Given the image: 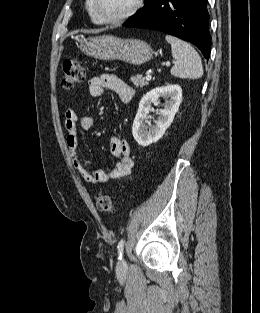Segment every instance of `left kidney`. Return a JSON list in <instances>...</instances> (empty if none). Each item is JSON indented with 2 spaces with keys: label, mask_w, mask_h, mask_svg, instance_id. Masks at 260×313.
Segmentation results:
<instances>
[{
  "label": "left kidney",
  "mask_w": 260,
  "mask_h": 313,
  "mask_svg": "<svg viewBox=\"0 0 260 313\" xmlns=\"http://www.w3.org/2000/svg\"><path fill=\"white\" fill-rule=\"evenodd\" d=\"M159 98L165 100L164 109L159 110V116L155 125L148 127L145 124L151 105ZM182 101V89L179 85H167L157 87L143 96L132 126V134L136 142L141 146H148L157 142L164 135L166 129L173 122Z\"/></svg>",
  "instance_id": "5707ae66"
}]
</instances>
